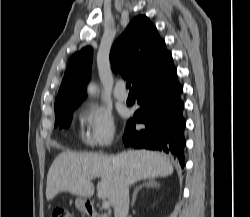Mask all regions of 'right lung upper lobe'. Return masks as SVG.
<instances>
[{
	"mask_svg": "<svg viewBox=\"0 0 250 217\" xmlns=\"http://www.w3.org/2000/svg\"><path fill=\"white\" fill-rule=\"evenodd\" d=\"M170 55L157 29L146 16H137L116 40L110 52L114 72L132 80L133 88L153 73ZM92 48L85 47L69 60L58 95L55 116L77 108L90 79Z\"/></svg>",
	"mask_w": 250,
	"mask_h": 217,
	"instance_id": "1",
	"label": "right lung upper lobe"
}]
</instances>
